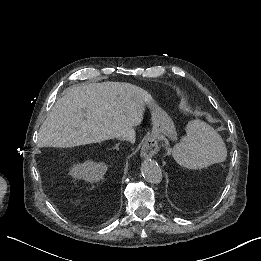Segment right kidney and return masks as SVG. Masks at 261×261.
Segmentation results:
<instances>
[{
  "instance_id": "obj_1",
  "label": "right kidney",
  "mask_w": 261,
  "mask_h": 261,
  "mask_svg": "<svg viewBox=\"0 0 261 261\" xmlns=\"http://www.w3.org/2000/svg\"><path fill=\"white\" fill-rule=\"evenodd\" d=\"M106 171L107 165L105 163L88 160L74 165L70 170V175L76 179H84L87 182L95 183L103 178Z\"/></svg>"
}]
</instances>
